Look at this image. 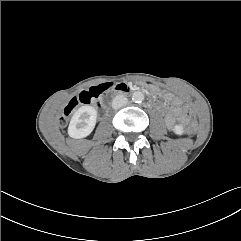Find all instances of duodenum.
I'll return each instance as SVG.
<instances>
[{
	"mask_svg": "<svg viewBox=\"0 0 241 241\" xmlns=\"http://www.w3.org/2000/svg\"><path fill=\"white\" fill-rule=\"evenodd\" d=\"M110 90H113L117 94H124L129 92V87L126 84H117L115 86H112Z\"/></svg>",
	"mask_w": 241,
	"mask_h": 241,
	"instance_id": "410a0bca",
	"label": "duodenum"
}]
</instances>
